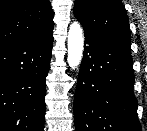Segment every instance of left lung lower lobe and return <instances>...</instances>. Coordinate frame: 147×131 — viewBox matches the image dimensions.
Masks as SVG:
<instances>
[{
    "mask_svg": "<svg viewBox=\"0 0 147 131\" xmlns=\"http://www.w3.org/2000/svg\"><path fill=\"white\" fill-rule=\"evenodd\" d=\"M131 53L85 33L74 97L76 131H141Z\"/></svg>",
    "mask_w": 147,
    "mask_h": 131,
    "instance_id": "obj_1",
    "label": "left lung lower lobe"
}]
</instances>
